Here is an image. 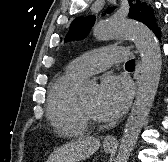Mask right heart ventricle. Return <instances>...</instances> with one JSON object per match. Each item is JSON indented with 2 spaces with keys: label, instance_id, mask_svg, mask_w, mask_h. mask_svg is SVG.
Returning a JSON list of instances; mask_svg holds the SVG:
<instances>
[{
  "label": "right heart ventricle",
  "instance_id": "right-heart-ventricle-1",
  "mask_svg": "<svg viewBox=\"0 0 168 162\" xmlns=\"http://www.w3.org/2000/svg\"><path fill=\"white\" fill-rule=\"evenodd\" d=\"M82 78L67 68L58 75L49 90L47 115L54 130L67 137L82 136L87 132V124L77 109V89Z\"/></svg>",
  "mask_w": 168,
  "mask_h": 162
}]
</instances>
